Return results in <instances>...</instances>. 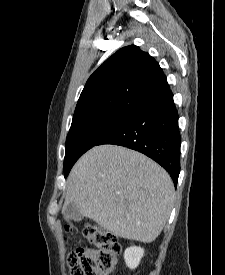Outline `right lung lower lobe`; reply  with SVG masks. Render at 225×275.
<instances>
[{"mask_svg": "<svg viewBox=\"0 0 225 275\" xmlns=\"http://www.w3.org/2000/svg\"><path fill=\"white\" fill-rule=\"evenodd\" d=\"M115 144L139 151L155 160L177 185L180 171V132L173 94L133 111L97 145Z\"/></svg>", "mask_w": 225, "mask_h": 275, "instance_id": "obj_1", "label": "right lung lower lobe"}]
</instances>
